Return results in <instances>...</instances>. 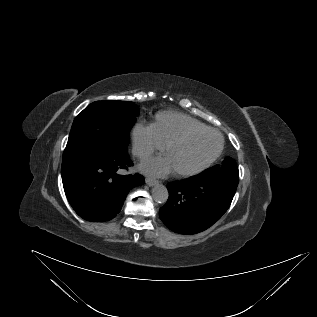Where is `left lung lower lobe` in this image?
<instances>
[{"label": "left lung lower lobe", "instance_id": "obj_1", "mask_svg": "<svg viewBox=\"0 0 317 317\" xmlns=\"http://www.w3.org/2000/svg\"><path fill=\"white\" fill-rule=\"evenodd\" d=\"M239 179L211 174L169 183V198L159 216L172 231L196 234L212 226L229 208Z\"/></svg>", "mask_w": 317, "mask_h": 317}]
</instances>
